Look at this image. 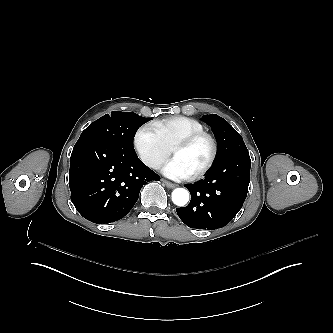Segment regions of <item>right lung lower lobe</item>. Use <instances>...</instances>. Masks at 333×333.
Instances as JSON below:
<instances>
[{"mask_svg":"<svg viewBox=\"0 0 333 333\" xmlns=\"http://www.w3.org/2000/svg\"><path fill=\"white\" fill-rule=\"evenodd\" d=\"M160 177L137 154L120 151L96 138H79L69 170L71 201L77 211L94 223L123 218L138 200L142 186Z\"/></svg>","mask_w":333,"mask_h":333,"instance_id":"98d812e1","label":"right lung lower lobe"}]
</instances>
